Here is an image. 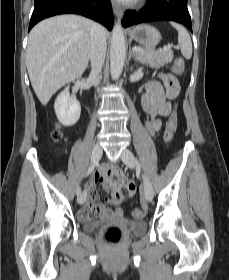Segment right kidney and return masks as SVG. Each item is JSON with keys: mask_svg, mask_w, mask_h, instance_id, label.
Segmentation results:
<instances>
[{"mask_svg": "<svg viewBox=\"0 0 229 280\" xmlns=\"http://www.w3.org/2000/svg\"><path fill=\"white\" fill-rule=\"evenodd\" d=\"M54 109L59 122L64 126H72L80 118V103L75 98L70 97L69 86L57 96Z\"/></svg>", "mask_w": 229, "mask_h": 280, "instance_id": "1", "label": "right kidney"}]
</instances>
